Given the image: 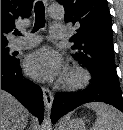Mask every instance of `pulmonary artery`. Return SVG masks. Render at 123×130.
I'll return each instance as SVG.
<instances>
[{
  "label": "pulmonary artery",
  "instance_id": "1",
  "mask_svg": "<svg viewBox=\"0 0 123 130\" xmlns=\"http://www.w3.org/2000/svg\"><path fill=\"white\" fill-rule=\"evenodd\" d=\"M51 37L54 39H63L66 36V28L62 24L55 23L51 26ZM40 38L35 35H29L23 39H16L11 43L13 50H22L36 46L39 44Z\"/></svg>",
  "mask_w": 123,
  "mask_h": 130
}]
</instances>
